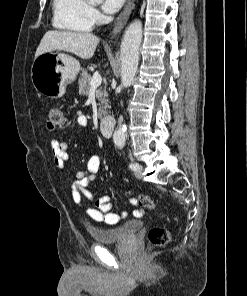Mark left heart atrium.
<instances>
[{
	"label": "left heart atrium",
	"mask_w": 247,
	"mask_h": 296,
	"mask_svg": "<svg viewBox=\"0 0 247 296\" xmlns=\"http://www.w3.org/2000/svg\"><path fill=\"white\" fill-rule=\"evenodd\" d=\"M125 0H103L102 8L106 13H115L123 5Z\"/></svg>",
	"instance_id": "left-heart-atrium-1"
}]
</instances>
